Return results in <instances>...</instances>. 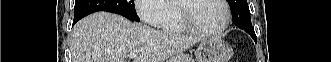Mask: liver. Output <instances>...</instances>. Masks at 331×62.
I'll list each match as a JSON object with an SVG mask.
<instances>
[{"mask_svg":"<svg viewBox=\"0 0 331 62\" xmlns=\"http://www.w3.org/2000/svg\"><path fill=\"white\" fill-rule=\"evenodd\" d=\"M201 40L132 23L116 14L97 12L73 28L72 62H127V54L140 48L143 51L134 62H164Z\"/></svg>","mask_w":331,"mask_h":62,"instance_id":"obj_1","label":"liver"}]
</instances>
